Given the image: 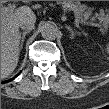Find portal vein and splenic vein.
I'll use <instances>...</instances> for the list:
<instances>
[{
    "instance_id": "18ae733b",
    "label": "portal vein and splenic vein",
    "mask_w": 109,
    "mask_h": 109,
    "mask_svg": "<svg viewBox=\"0 0 109 109\" xmlns=\"http://www.w3.org/2000/svg\"><path fill=\"white\" fill-rule=\"evenodd\" d=\"M13 11H14V6L4 7V8H3V11H2V16L4 17V16H6V15H9V14L13 13ZM75 23H76V25L78 26L79 23H81V22H80L79 19L76 18V19H75ZM86 24L88 25V23H86Z\"/></svg>"
}]
</instances>
